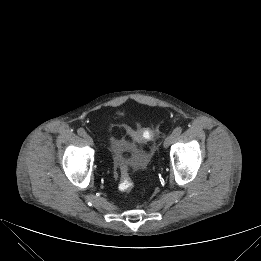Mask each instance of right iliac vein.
<instances>
[{"label": "right iliac vein", "mask_w": 261, "mask_h": 261, "mask_svg": "<svg viewBox=\"0 0 261 261\" xmlns=\"http://www.w3.org/2000/svg\"><path fill=\"white\" fill-rule=\"evenodd\" d=\"M84 139H85V142L89 145V146H93V139H92V137L91 136H89V135H85L84 136Z\"/></svg>", "instance_id": "obj_1"}]
</instances>
